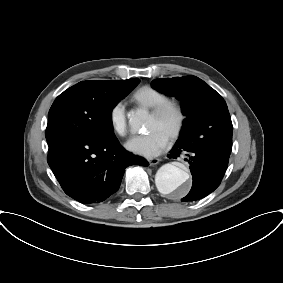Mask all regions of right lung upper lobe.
Segmentation results:
<instances>
[{"mask_svg":"<svg viewBox=\"0 0 283 283\" xmlns=\"http://www.w3.org/2000/svg\"><path fill=\"white\" fill-rule=\"evenodd\" d=\"M125 81V80H122ZM122 81H90L98 84H103V85H112V84H118L121 83Z\"/></svg>","mask_w":283,"mask_h":283,"instance_id":"right-lung-upper-lobe-1","label":"right lung upper lobe"}]
</instances>
